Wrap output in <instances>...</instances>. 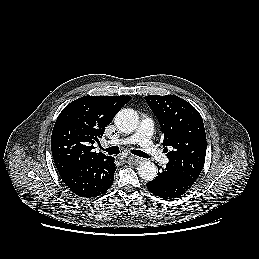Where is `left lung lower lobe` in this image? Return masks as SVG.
<instances>
[{
  "label": "left lung lower lobe",
  "mask_w": 259,
  "mask_h": 259,
  "mask_svg": "<svg viewBox=\"0 0 259 259\" xmlns=\"http://www.w3.org/2000/svg\"><path fill=\"white\" fill-rule=\"evenodd\" d=\"M162 167H159L160 169ZM193 182L182 176L178 171L169 165L158 171V176L147 184L148 190L164 199L177 198L183 195Z\"/></svg>",
  "instance_id": "obj_1"
}]
</instances>
